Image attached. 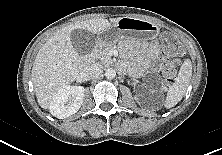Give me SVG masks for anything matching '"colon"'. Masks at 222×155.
I'll use <instances>...</instances> for the list:
<instances>
[{
	"label": "colon",
	"mask_w": 222,
	"mask_h": 155,
	"mask_svg": "<svg viewBox=\"0 0 222 155\" xmlns=\"http://www.w3.org/2000/svg\"><path fill=\"white\" fill-rule=\"evenodd\" d=\"M162 52L166 60L164 67V77L168 84H172L176 75V67L172 60L175 59L180 52L179 42L173 35L168 33L163 34Z\"/></svg>",
	"instance_id": "obj_1"
}]
</instances>
